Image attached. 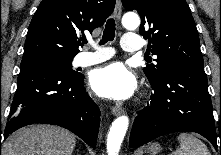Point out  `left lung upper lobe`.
<instances>
[{
  "mask_svg": "<svg viewBox=\"0 0 221 155\" xmlns=\"http://www.w3.org/2000/svg\"><path fill=\"white\" fill-rule=\"evenodd\" d=\"M126 10L141 16L139 32L149 38L148 49L157 55L156 64L143 71L150 82L164 77L170 69L204 66L200 41L190 8L185 0H122Z\"/></svg>",
  "mask_w": 221,
  "mask_h": 155,
  "instance_id": "obj_1",
  "label": "left lung upper lobe"
}]
</instances>
